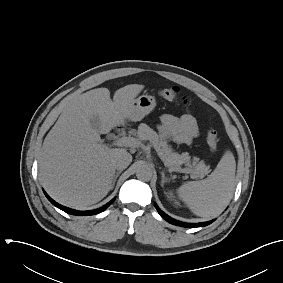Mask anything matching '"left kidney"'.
Here are the masks:
<instances>
[{"label":"left kidney","mask_w":283,"mask_h":283,"mask_svg":"<svg viewBox=\"0 0 283 283\" xmlns=\"http://www.w3.org/2000/svg\"><path fill=\"white\" fill-rule=\"evenodd\" d=\"M167 194V197L170 199V200H174V194L172 191H169ZM176 205H178V202L175 200L174 202Z\"/></svg>","instance_id":"left-kidney-1"}]
</instances>
